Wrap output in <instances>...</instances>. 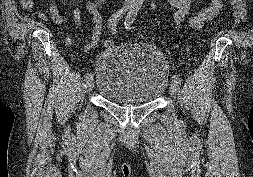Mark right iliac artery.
Wrapping results in <instances>:
<instances>
[{"label":"right iliac artery","mask_w":253,"mask_h":177,"mask_svg":"<svg viewBox=\"0 0 253 177\" xmlns=\"http://www.w3.org/2000/svg\"><path fill=\"white\" fill-rule=\"evenodd\" d=\"M131 8H132L131 6H125L111 15V17L108 20V28L110 29V31L113 34L116 33V26H117V23L119 22V20L123 17V15L126 13V11ZM91 77H92L91 72L85 73L86 80H88Z\"/></svg>","instance_id":"82829eb1"}]
</instances>
